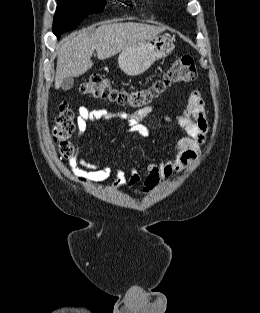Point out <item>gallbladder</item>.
<instances>
[{"instance_id":"gallbladder-1","label":"gallbladder","mask_w":260,"mask_h":313,"mask_svg":"<svg viewBox=\"0 0 260 313\" xmlns=\"http://www.w3.org/2000/svg\"><path fill=\"white\" fill-rule=\"evenodd\" d=\"M74 79L73 77H67L63 80L61 88L64 91L70 90L73 87Z\"/></svg>"}]
</instances>
